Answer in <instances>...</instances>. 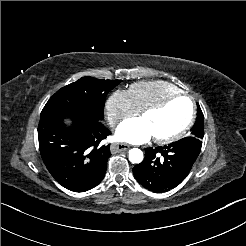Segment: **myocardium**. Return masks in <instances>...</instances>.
Returning a JSON list of instances; mask_svg holds the SVG:
<instances>
[{"instance_id":"myocardium-1","label":"myocardium","mask_w":246,"mask_h":246,"mask_svg":"<svg viewBox=\"0 0 246 246\" xmlns=\"http://www.w3.org/2000/svg\"><path fill=\"white\" fill-rule=\"evenodd\" d=\"M181 97L187 98L190 102V105H191L190 115H189L185 125L181 129H179L177 132H175L174 134H172L170 136L154 137V141L157 144L163 145V144L171 143V142L181 138L192 127L193 122L195 120V105H194L192 97L190 95H188L187 93H178V94H175V95H172V96L166 98L165 100H163L157 104H153L151 106H148L140 112V116L143 117L150 112L162 110L170 102H172L173 100H175L177 98H181Z\"/></svg>"}]
</instances>
